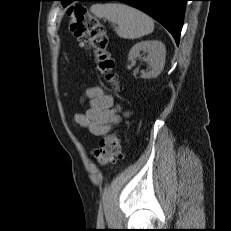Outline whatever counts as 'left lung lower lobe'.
<instances>
[{
    "label": "left lung lower lobe",
    "instance_id": "left-lung-lower-lobe-1",
    "mask_svg": "<svg viewBox=\"0 0 231 231\" xmlns=\"http://www.w3.org/2000/svg\"><path fill=\"white\" fill-rule=\"evenodd\" d=\"M73 1H120L147 13L161 23L179 43L185 3L188 0H64L63 6Z\"/></svg>",
    "mask_w": 231,
    "mask_h": 231
}]
</instances>
